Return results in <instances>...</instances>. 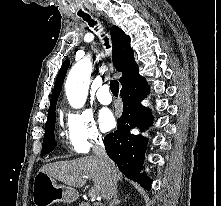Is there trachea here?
<instances>
[{
    "mask_svg": "<svg viewBox=\"0 0 221 206\" xmlns=\"http://www.w3.org/2000/svg\"><path fill=\"white\" fill-rule=\"evenodd\" d=\"M82 18H83V20L87 21L90 26L93 27L94 25H96V21H94L93 19H91L90 16H82ZM105 41H106V42H105V45L107 46V48H109L108 39H106ZM110 88H111L112 94H113L114 96H118V93H119V83H118V81L112 80V81L110 82Z\"/></svg>",
    "mask_w": 221,
    "mask_h": 206,
    "instance_id": "trachea-1",
    "label": "trachea"
}]
</instances>
